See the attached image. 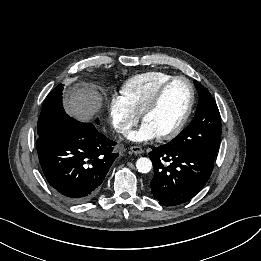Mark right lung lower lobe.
Here are the masks:
<instances>
[{
    "instance_id": "obj_1",
    "label": "right lung lower lobe",
    "mask_w": 261,
    "mask_h": 261,
    "mask_svg": "<svg viewBox=\"0 0 261 261\" xmlns=\"http://www.w3.org/2000/svg\"><path fill=\"white\" fill-rule=\"evenodd\" d=\"M115 145L92 123L73 118L37 139L47 182L61 198L73 203L86 202L98 193L119 155L113 151Z\"/></svg>"
}]
</instances>
